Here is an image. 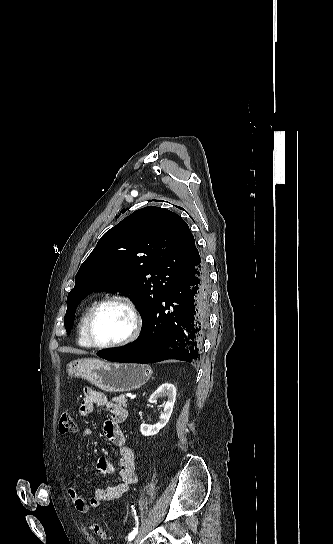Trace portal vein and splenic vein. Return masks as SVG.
<instances>
[{
    "instance_id": "18ae733b",
    "label": "portal vein and splenic vein",
    "mask_w": 333,
    "mask_h": 544,
    "mask_svg": "<svg viewBox=\"0 0 333 544\" xmlns=\"http://www.w3.org/2000/svg\"><path fill=\"white\" fill-rule=\"evenodd\" d=\"M126 396H127V397H132V394H131V393H128Z\"/></svg>"
}]
</instances>
